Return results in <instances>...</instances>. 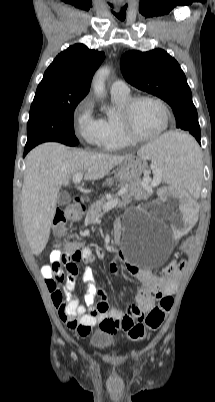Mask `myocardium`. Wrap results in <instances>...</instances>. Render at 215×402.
<instances>
[{
  "mask_svg": "<svg viewBox=\"0 0 215 402\" xmlns=\"http://www.w3.org/2000/svg\"><path fill=\"white\" fill-rule=\"evenodd\" d=\"M142 101H152L158 104L164 113V125L163 127L156 133L152 135H140L138 134L133 127L132 122V115L135 107L138 103ZM171 120V112L168 105L159 97L153 95H140L130 98L122 107L119 114V122L122 129L124 136L131 142V143H139V142H148L155 140L161 137L164 133H166L170 126Z\"/></svg>",
  "mask_w": 215,
  "mask_h": 402,
  "instance_id": "1",
  "label": "myocardium"
}]
</instances>
